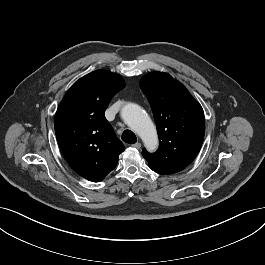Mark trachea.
Instances as JSON below:
<instances>
[{
	"label": "trachea",
	"instance_id": "trachea-1",
	"mask_svg": "<svg viewBox=\"0 0 265 265\" xmlns=\"http://www.w3.org/2000/svg\"><path fill=\"white\" fill-rule=\"evenodd\" d=\"M122 140L125 143L134 144L137 142V137L131 130H125L122 134Z\"/></svg>",
	"mask_w": 265,
	"mask_h": 265
}]
</instances>
